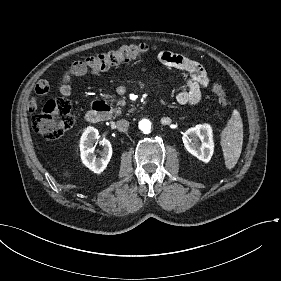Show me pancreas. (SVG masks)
Instances as JSON below:
<instances>
[{"label": "pancreas", "mask_w": 281, "mask_h": 281, "mask_svg": "<svg viewBox=\"0 0 281 281\" xmlns=\"http://www.w3.org/2000/svg\"><path fill=\"white\" fill-rule=\"evenodd\" d=\"M119 104L124 105L125 102L124 101H120V102H118V105ZM121 109H122V107H119L118 110H114L115 114H114L113 118H116L118 115H120L122 113Z\"/></svg>", "instance_id": "pancreas-1"}]
</instances>
